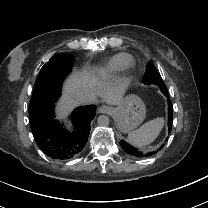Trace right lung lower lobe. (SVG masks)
I'll return each mask as SVG.
<instances>
[{
    "instance_id": "right-lung-lower-lobe-1",
    "label": "right lung lower lobe",
    "mask_w": 208,
    "mask_h": 208,
    "mask_svg": "<svg viewBox=\"0 0 208 208\" xmlns=\"http://www.w3.org/2000/svg\"><path fill=\"white\" fill-rule=\"evenodd\" d=\"M64 62L49 60L41 69L30 100V125L39 148L50 158L68 160L76 157L84 148L90 122L95 117L96 106L77 108L71 116L74 131L71 133L54 119V103L61 95L65 78Z\"/></svg>"
}]
</instances>
